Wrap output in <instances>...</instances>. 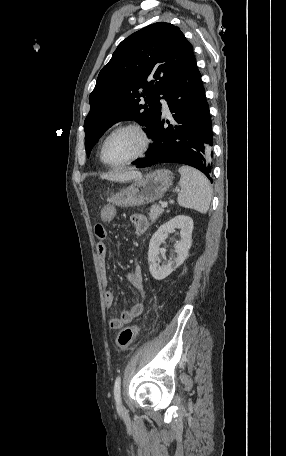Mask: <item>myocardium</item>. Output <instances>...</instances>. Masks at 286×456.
<instances>
[{
  "label": "myocardium",
  "mask_w": 286,
  "mask_h": 456,
  "mask_svg": "<svg viewBox=\"0 0 286 456\" xmlns=\"http://www.w3.org/2000/svg\"><path fill=\"white\" fill-rule=\"evenodd\" d=\"M127 129H133L140 134V136L142 137V140H143L142 148L137 155H135L134 157H132L122 163H118V164L110 163L106 159V156H105L107 143L110 140V138L112 136H114L116 133H118L122 130H127ZM151 144H152V138H151L148 130L145 128V126H143L140 123H136V122H128V123H125V124H122V125L116 127L106 136V138L104 139V141L102 143V147H101V151H100V158H101L102 162L110 168H121V167L130 165V164L136 162L137 160L143 158L149 151Z\"/></svg>",
  "instance_id": "obj_1"
}]
</instances>
